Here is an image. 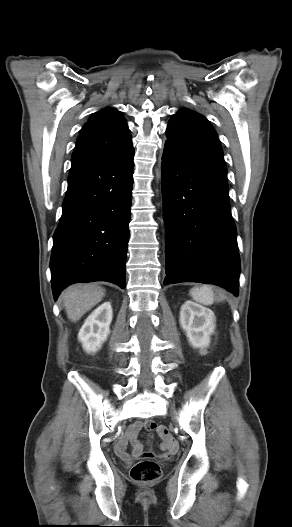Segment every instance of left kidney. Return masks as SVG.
<instances>
[{
  "label": "left kidney",
  "instance_id": "obj_1",
  "mask_svg": "<svg viewBox=\"0 0 292 527\" xmlns=\"http://www.w3.org/2000/svg\"><path fill=\"white\" fill-rule=\"evenodd\" d=\"M180 325L189 343L204 351L210 344V335L215 330L214 313L192 301H186L180 311Z\"/></svg>",
  "mask_w": 292,
  "mask_h": 527
}]
</instances>
